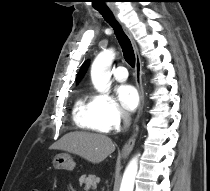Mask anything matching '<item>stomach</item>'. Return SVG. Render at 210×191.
<instances>
[{
	"label": "stomach",
	"instance_id": "stomach-1",
	"mask_svg": "<svg viewBox=\"0 0 210 191\" xmlns=\"http://www.w3.org/2000/svg\"><path fill=\"white\" fill-rule=\"evenodd\" d=\"M53 167L57 170H73L75 162L69 154L62 153L54 157Z\"/></svg>",
	"mask_w": 210,
	"mask_h": 191
}]
</instances>
